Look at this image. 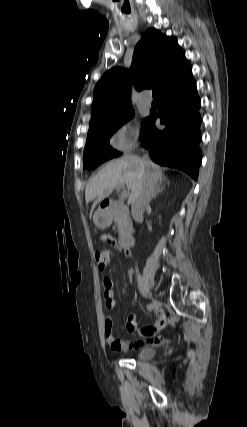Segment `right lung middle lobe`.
Masks as SVG:
<instances>
[{
    "label": "right lung middle lobe",
    "mask_w": 247,
    "mask_h": 427,
    "mask_svg": "<svg viewBox=\"0 0 247 427\" xmlns=\"http://www.w3.org/2000/svg\"><path fill=\"white\" fill-rule=\"evenodd\" d=\"M134 116L132 107L123 110L115 119L89 129L83 154V169L92 170L106 160L120 155L109 146V138L125 122ZM148 118L144 121L146 129Z\"/></svg>",
    "instance_id": "1"
}]
</instances>
